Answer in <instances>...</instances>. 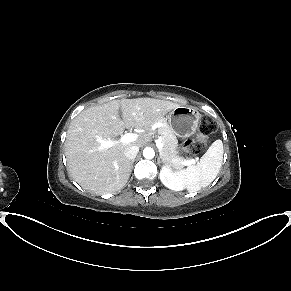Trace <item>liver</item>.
<instances>
[{"label": "liver", "mask_w": 291, "mask_h": 291, "mask_svg": "<svg viewBox=\"0 0 291 291\" xmlns=\"http://www.w3.org/2000/svg\"><path fill=\"white\" fill-rule=\"evenodd\" d=\"M180 105L167 100L136 98L113 100L83 110L70 124L65 141L68 171L84 189L109 194L122 189L131 174L124 151L150 140V127ZM122 113V119L119 115ZM126 129L145 130L131 143L101 148L98 139L113 140Z\"/></svg>", "instance_id": "obj_1"}]
</instances>
